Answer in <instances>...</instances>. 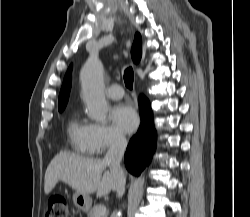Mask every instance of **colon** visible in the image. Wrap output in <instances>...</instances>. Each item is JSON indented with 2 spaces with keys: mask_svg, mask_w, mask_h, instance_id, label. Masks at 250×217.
Masks as SVG:
<instances>
[{
  "mask_svg": "<svg viewBox=\"0 0 250 217\" xmlns=\"http://www.w3.org/2000/svg\"><path fill=\"white\" fill-rule=\"evenodd\" d=\"M45 217H70L66 199L61 196L51 197L48 201Z\"/></svg>",
  "mask_w": 250,
  "mask_h": 217,
  "instance_id": "colon-1",
  "label": "colon"
}]
</instances>
